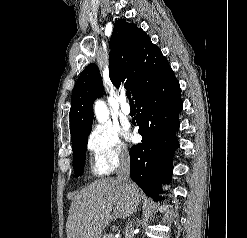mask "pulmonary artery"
I'll return each instance as SVG.
<instances>
[{
    "instance_id": "1",
    "label": "pulmonary artery",
    "mask_w": 247,
    "mask_h": 238,
    "mask_svg": "<svg viewBox=\"0 0 247 238\" xmlns=\"http://www.w3.org/2000/svg\"><path fill=\"white\" fill-rule=\"evenodd\" d=\"M120 109H121V112L125 115H129L131 112V108L126 101L125 95H121L120 97Z\"/></svg>"
}]
</instances>
